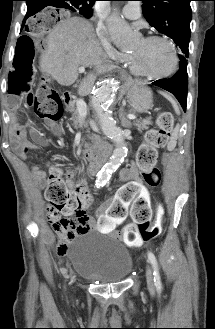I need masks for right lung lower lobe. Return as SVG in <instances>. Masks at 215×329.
I'll return each instance as SVG.
<instances>
[{"mask_svg": "<svg viewBox=\"0 0 215 329\" xmlns=\"http://www.w3.org/2000/svg\"><path fill=\"white\" fill-rule=\"evenodd\" d=\"M26 3H27V14L25 16V19L41 11L43 9V4L45 2L41 0H26Z\"/></svg>", "mask_w": 215, "mask_h": 329, "instance_id": "obj_1", "label": "right lung lower lobe"}]
</instances>
